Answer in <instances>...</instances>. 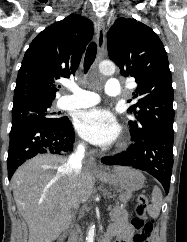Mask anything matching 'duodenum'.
<instances>
[{"mask_svg":"<svg viewBox=\"0 0 187 242\" xmlns=\"http://www.w3.org/2000/svg\"><path fill=\"white\" fill-rule=\"evenodd\" d=\"M110 236L109 235H104L103 237H102V239L100 240V242H110Z\"/></svg>","mask_w":187,"mask_h":242,"instance_id":"duodenum-1","label":"duodenum"}]
</instances>
